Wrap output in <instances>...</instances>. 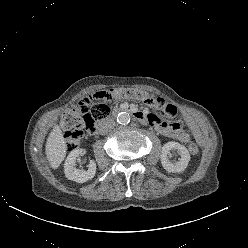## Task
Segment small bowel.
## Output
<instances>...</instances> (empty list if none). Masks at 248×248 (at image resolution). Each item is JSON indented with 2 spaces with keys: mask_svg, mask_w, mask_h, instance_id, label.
<instances>
[{
  "mask_svg": "<svg viewBox=\"0 0 248 248\" xmlns=\"http://www.w3.org/2000/svg\"><path fill=\"white\" fill-rule=\"evenodd\" d=\"M150 120L155 124L157 131L163 136L172 137L183 143H187L191 140L192 136L184 132L181 128L180 123L178 122L173 124H168L159 120L158 117L155 115H151ZM184 120L187 126L191 129L194 138H196L198 141H202L203 134L199 126L195 122V120L189 116H185Z\"/></svg>",
  "mask_w": 248,
  "mask_h": 248,
  "instance_id": "c3829d8e",
  "label": "small bowel"
}]
</instances>
